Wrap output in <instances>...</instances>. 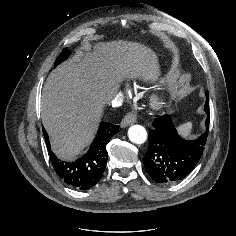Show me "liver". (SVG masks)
<instances>
[{
  "label": "liver",
  "instance_id": "liver-1",
  "mask_svg": "<svg viewBox=\"0 0 236 236\" xmlns=\"http://www.w3.org/2000/svg\"><path fill=\"white\" fill-rule=\"evenodd\" d=\"M158 75L156 54L124 40L99 42L53 70L42 91V122L54 153L72 160L91 143L121 81L154 82Z\"/></svg>",
  "mask_w": 236,
  "mask_h": 236
}]
</instances>
